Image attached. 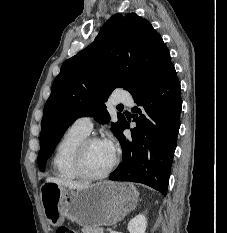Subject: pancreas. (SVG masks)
<instances>
[{"mask_svg":"<svg viewBox=\"0 0 227 233\" xmlns=\"http://www.w3.org/2000/svg\"><path fill=\"white\" fill-rule=\"evenodd\" d=\"M83 233H102L101 228H91L89 226H85L82 228Z\"/></svg>","mask_w":227,"mask_h":233,"instance_id":"pancreas-1","label":"pancreas"}]
</instances>
